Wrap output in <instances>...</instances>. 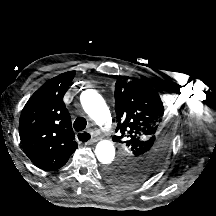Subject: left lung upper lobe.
Instances as JSON below:
<instances>
[{
    "label": "left lung upper lobe",
    "instance_id": "left-lung-upper-lobe-1",
    "mask_svg": "<svg viewBox=\"0 0 216 216\" xmlns=\"http://www.w3.org/2000/svg\"><path fill=\"white\" fill-rule=\"evenodd\" d=\"M118 136L123 144L118 161L103 170L118 186H131L151 177L163 164L175 128L173 113L163 107L154 84L144 80H118L115 84Z\"/></svg>",
    "mask_w": 216,
    "mask_h": 216
}]
</instances>
